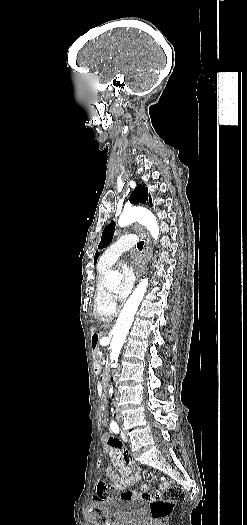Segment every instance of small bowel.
I'll list each match as a JSON object with an SVG mask.
<instances>
[{
    "label": "small bowel",
    "mask_w": 247,
    "mask_h": 525,
    "mask_svg": "<svg viewBox=\"0 0 247 525\" xmlns=\"http://www.w3.org/2000/svg\"><path fill=\"white\" fill-rule=\"evenodd\" d=\"M103 442V451L110 458L113 467H108L104 471V475L116 486L118 491H121L120 499L122 501H132L139 493L134 490H130L140 477V466L132 458L130 453L124 449L121 445V442L109 435L104 434L102 436ZM97 465L100 467L102 461L98 460ZM99 488V489H98ZM112 485L109 482L99 481L97 499L96 502L98 505L103 506L106 504V497L111 490ZM148 486L143 485L141 487V492L143 495H148ZM146 500H150V497H146Z\"/></svg>",
    "instance_id": "c3829d8e"
}]
</instances>
